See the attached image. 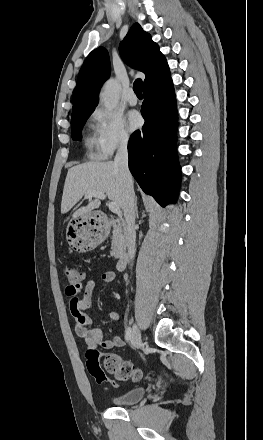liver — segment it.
Returning <instances> with one entry per match:
<instances>
[{
	"instance_id": "1",
	"label": "liver",
	"mask_w": 263,
	"mask_h": 440,
	"mask_svg": "<svg viewBox=\"0 0 263 440\" xmlns=\"http://www.w3.org/2000/svg\"><path fill=\"white\" fill-rule=\"evenodd\" d=\"M90 191L106 193L109 200L116 202L123 209L122 179L119 168L113 161L87 162L71 167L65 179L61 213L70 211L85 193ZM99 206V199L89 198L88 204L77 209L73 217L91 213Z\"/></svg>"
}]
</instances>
